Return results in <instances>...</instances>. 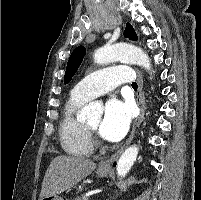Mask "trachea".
<instances>
[{"instance_id":"1","label":"trachea","mask_w":201,"mask_h":200,"mask_svg":"<svg viewBox=\"0 0 201 200\" xmlns=\"http://www.w3.org/2000/svg\"><path fill=\"white\" fill-rule=\"evenodd\" d=\"M137 87H138V86H137V83H136V82H133V83H132V88H133V89H137Z\"/></svg>"}]
</instances>
